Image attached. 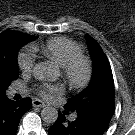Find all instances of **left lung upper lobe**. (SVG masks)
<instances>
[{"label":"left lung upper lobe","mask_w":135,"mask_h":135,"mask_svg":"<svg viewBox=\"0 0 135 135\" xmlns=\"http://www.w3.org/2000/svg\"><path fill=\"white\" fill-rule=\"evenodd\" d=\"M93 61L92 79L87 88L70 98L65 105L69 110L101 109L114 112V80L109 62L100 45L89 35L86 36Z\"/></svg>","instance_id":"1"}]
</instances>
